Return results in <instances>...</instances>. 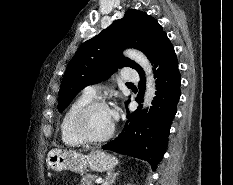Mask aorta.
<instances>
[{"instance_id": "1", "label": "aorta", "mask_w": 233, "mask_h": 185, "mask_svg": "<svg viewBox=\"0 0 233 185\" xmlns=\"http://www.w3.org/2000/svg\"><path fill=\"white\" fill-rule=\"evenodd\" d=\"M125 55L138 63L146 73V91L144 96L143 107H150L155 97L156 84L152 74V67L147 57L140 51L129 49L125 51Z\"/></svg>"}]
</instances>
